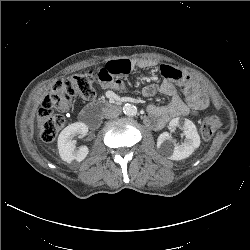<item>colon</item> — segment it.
Segmentation results:
<instances>
[{"label": "colon", "instance_id": "colon-1", "mask_svg": "<svg viewBox=\"0 0 250 250\" xmlns=\"http://www.w3.org/2000/svg\"><path fill=\"white\" fill-rule=\"evenodd\" d=\"M95 81L96 74L87 71L55 83L43 99L37 116L40 137L44 142H52L65 124L64 118L55 111H70L76 98L92 99L95 96ZM220 126L217 116H207L201 121L200 133L204 139H210Z\"/></svg>", "mask_w": 250, "mask_h": 250}]
</instances>
